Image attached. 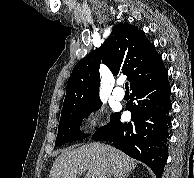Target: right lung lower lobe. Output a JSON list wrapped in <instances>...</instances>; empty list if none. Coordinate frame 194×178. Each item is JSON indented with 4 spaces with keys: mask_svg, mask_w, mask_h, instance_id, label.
Listing matches in <instances>:
<instances>
[{
    "mask_svg": "<svg viewBox=\"0 0 194 178\" xmlns=\"http://www.w3.org/2000/svg\"><path fill=\"white\" fill-rule=\"evenodd\" d=\"M167 70L154 79L132 88V101L126 109L132 122L122 123L121 113H113L108 125L93 135L95 141H110L127 155L147 164L161 178L168 157V128L171 88Z\"/></svg>",
    "mask_w": 194,
    "mask_h": 178,
    "instance_id": "obj_1",
    "label": "right lung lower lobe"
}]
</instances>
